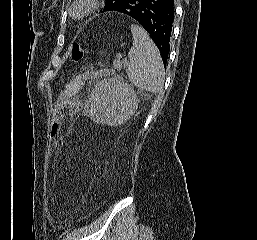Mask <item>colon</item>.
Masks as SVG:
<instances>
[{
  "mask_svg": "<svg viewBox=\"0 0 257 240\" xmlns=\"http://www.w3.org/2000/svg\"><path fill=\"white\" fill-rule=\"evenodd\" d=\"M84 50L80 44H73L70 51V59L73 62H78L82 59ZM62 128V116L61 111L55 107L52 113L51 125H50V137L55 139L59 136Z\"/></svg>",
  "mask_w": 257,
  "mask_h": 240,
  "instance_id": "obj_1",
  "label": "colon"
}]
</instances>
